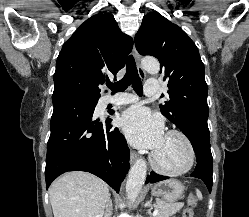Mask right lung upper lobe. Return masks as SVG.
<instances>
[{
	"mask_svg": "<svg viewBox=\"0 0 249 217\" xmlns=\"http://www.w3.org/2000/svg\"><path fill=\"white\" fill-rule=\"evenodd\" d=\"M133 40L118 27L112 14L98 13L63 44L54 73V92H76L100 97L99 84L108 73L125 66Z\"/></svg>",
	"mask_w": 249,
	"mask_h": 217,
	"instance_id": "1",
	"label": "right lung upper lobe"
}]
</instances>
